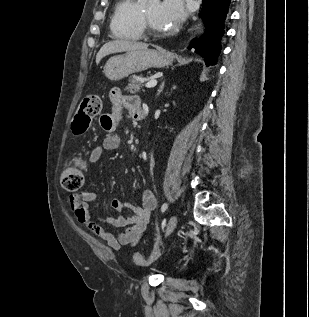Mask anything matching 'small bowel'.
Returning <instances> with one entry per match:
<instances>
[{
  "label": "small bowel",
  "mask_w": 309,
  "mask_h": 317,
  "mask_svg": "<svg viewBox=\"0 0 309 317\" xmlns=\"http://www.w3.org/2000/svg\"><path fill=\"white\" fill-rule=\"evenodd\" d=\"M109 97L112 111L100 118L105 136L102 144L90 153L89 161L91 163L97 162L104 152L115 150L118 147L120 140L116 129L123 110H127L132 119L141 120L139 115L143 110L138 97L125 95L119 88L111 89ZM96 199L97 194L93 191L76 192L69 197L70 207L77 221L105 241L113 250H120L126 245L135 246L139 242L157 204L154 194L150 190H145L142 193L141 205L126 204L117 199L111 201L110 205L113 210L119 213L128 211L130 215L119 214L112 217L96 215L93 220L89 212V204ZM103 224L125 228V230L114 234Z\"/></svg>",
  "instance_id": "small-bowel-1"
}]
</instances>
